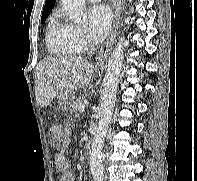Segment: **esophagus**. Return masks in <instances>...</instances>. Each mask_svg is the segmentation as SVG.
I'll return each instance as SVG.
<instances>
[{
    "label": "esophagus",
    "mask_w": 197,
    "mask_h": 181,
    "mask_svg": "<svg viewBox=\"0 0 197 181\" xmlns=\"http://www.w3.org/2000/svg\"><path fill=\"white\" fill-rule=\"evenodd\" d=\"M112 1H113V9H114L113 26H112L110 35L105 42V46L102 48L100 52V56L98 60V67H102L104 62L107 60L112 50L113 44L115 42V37L118 32L119 16H120L121 8H122V1L121 0H112Z\"/></svg>",
    "instance_id": "obj_1"
}]
</instances>
